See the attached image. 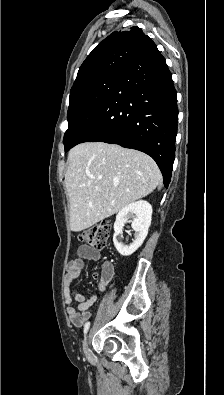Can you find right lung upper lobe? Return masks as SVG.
<instances>
[{
    "label": "right lung upper lobe",
    "instance_id": "right-lung-upper-lobe-1",
    "mask_svg": "<svg viewBox=\"0 0 224 395\" xmlns=\"http://www.w3.org/2000/svg\"><path fill=\"white\" fill-rule=\"evenodd\" d=\"M147 37L137 26L110 34L92 50L81 65L71 93L101 77L122 74Z\"/></svg>",
    "mask_w": 224,
    "mask_h": 395
}]
</instances>
